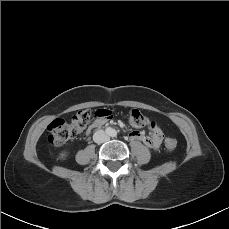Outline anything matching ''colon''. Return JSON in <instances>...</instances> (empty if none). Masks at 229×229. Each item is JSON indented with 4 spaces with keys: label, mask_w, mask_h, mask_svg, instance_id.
Segmentation results:
<instances>
[{
    "label": "colon",
    "mask_w": 229,
    "mask_h": 229,
    "mask_svg": "<svg viewBox=\"0 0 229 229\" xmlns=\"http://www.w3.org/2000/svg\"><path fill=\"white\" fill-rule=\"evenodd\" d=\"M97 114L103 118H111L112 114L107 109H99ZM92 112L88 109L78 111L71 123L62 119H56L48 126V142L52 146H62L78 132L84 130L91 119ZM129 121L135 127L150 126L151 122L138 110L132 109L129 112ZM164 146L168 151H174L178 142L175 138L168 137L164 141Z\"/></svg>",
    "instance_id": "5ec220e1"
}]
</instances>
